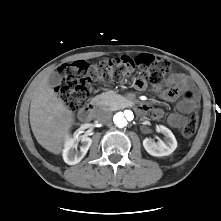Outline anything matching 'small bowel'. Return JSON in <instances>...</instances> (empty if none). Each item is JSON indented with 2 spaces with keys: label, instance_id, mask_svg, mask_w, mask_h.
Segmentation results:
<instances>
[{
  "label": "small bowel",
  "instance_id": "small-bowel-1",
  "mask_svg": "<svg viewBox=\"0 0 221 221\" xmlns=\"http://www.w3.org/2000/svg\"><path fill=\"white\" fill-rule=\"evenodd\" d=\"M141 80H137V85ZM189 78L183 73H174L169 79L166 88H155V92L160 98L170 102H176L177 113L168 116V123L173 128H181L186 122V115L193 108V102L187 99L184 94L190 90ZM182 95V98L180 96ZM144 111L152 117L158 118L162 116V111L153 107H145Z\"/></svg>",
  "mask_w": 221,
  "mask_h": 221
}]
</instances>
